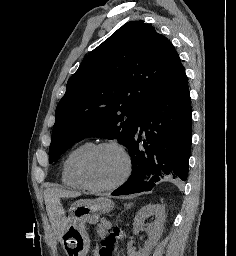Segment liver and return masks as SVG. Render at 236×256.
<instances>
[{"instance_id": "obj_1", "label": "liver", "mask_w": 236, "mask_h": 256, "mask_svg": "<svg viewBox=\"0 0 236 256\" xmlns=\"http://www.w3.org/2000/svg\"><path fill=\"white\" fill-rule=\"evenodd\" d=\"M60 196L61 194L59 190H56V188H50V190H45V204L50 216H55L58 210H60V204H58V198H60ZM64 196H68V198H78V196H81V194L80 192H66Z\"/></svg>"}]
</instances>
